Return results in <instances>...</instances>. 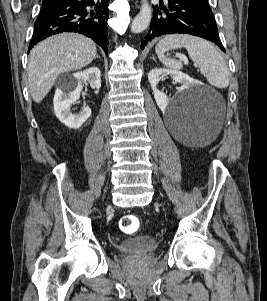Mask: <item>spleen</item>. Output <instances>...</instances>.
Masks as SVG:
<instances>
[{
  "mask_svg": "<svg viewBox=\"0 0 267 301\" xmlns=\"http://www.w3.org/2000/svg\"><path fill=\"white\" fill-rule=\"evenodd\" d=\"M186 48L190 59L198 64L200 73L209 84L219 89L228 87L230 75L227 64L220 52L208 41L188 34L168 35L155 48L159 60L170 69L180 70L181 61L168 58L165 53L172 49Z\"/></svg>",
  "mask_w": 267,
  "mask_h": 301,
  "instance_id": "1",
  "label": "spleen"
}]
</instances>
